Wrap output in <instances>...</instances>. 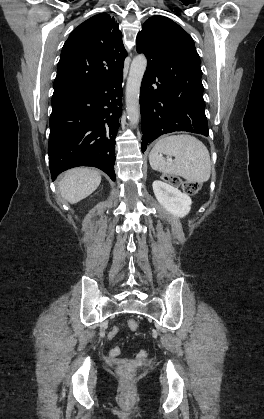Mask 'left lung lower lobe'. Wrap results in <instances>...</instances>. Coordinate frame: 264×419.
<instances>
[{"instance_id": "1", "label": "left lung lower lobe", "mask_w": 264, "mask_h": 419, "mask_svg": "<svg viewBox=\"0 0 264 419\" xmlns=\"http://www.w3.org/2000/svg\"><path fill=\"white\" fill-rule=\"evenodd\" d=\"M144 54L148 64L140 89L142 152L148 143L170 132L186 131L208 136L202 82L165 78L149 57L150 53Z\"/></svg>"}]
</instances>
